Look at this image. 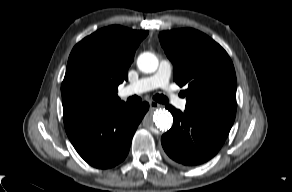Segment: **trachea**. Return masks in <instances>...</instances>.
Masks as SVG:
<instances>
[{"instance_id": "obj_1", "label": "trachea", "mask_w": 292, "mask_h": 192, "mask_svg": "<svg viewBox=\"0 0 292 192\" xmlns=\"http://www.w3.org/2000/svg\"><path fill=\"white\" fill-rule=\"evenodd\" d=\"M153 99L159 103H162V104H166L168 102V99L164 96V95H160V94H156ZM128 102L130 103H140L141 102V98L134 95L132 97H130L128 99Z\"/></svg>"}]
</instances>
